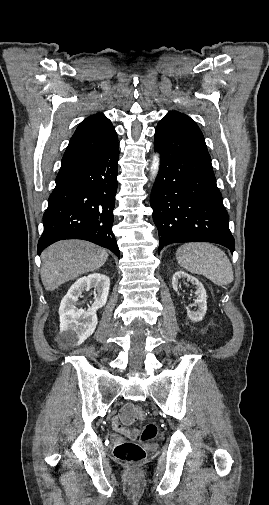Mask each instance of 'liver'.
I'll use <instances>...</instances> for the list:
<instances>
[{
  "mask_svg": "<svg viewBox=\"0 0 269 505\" xmlns=\"http://www.w3.org/2000/svg\"><path fill=\"white\" fill-rule=\"evenodd\" d=\"M41 280L47 291L99 269L108 259L105 249L83 240L59 241L42 255Z\"/></svg>",
  "mask_w": 269,
  "mask_h": 505,
  "instance_id": "6515ba94",
  "label": "liver"
}]
</instances>
